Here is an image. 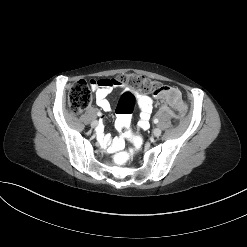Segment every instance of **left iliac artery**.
<instances>
[{"instance_id": "left-iliac-artery-1", "label": "left iliac artery", "mask_w": 247, "mask_h": 247, "mask_svg": "<svg viewBox=\"0 0 247 247\" xmlns=\"http://www.w3.org/2000/svg\"><path fill=\"white\" fill-rule=\"evenodd\" d=\"M153 122H154L155 124H157L159 121H158V119L155 118V119L153 120Z\"/></svg>"}]
</instances>
